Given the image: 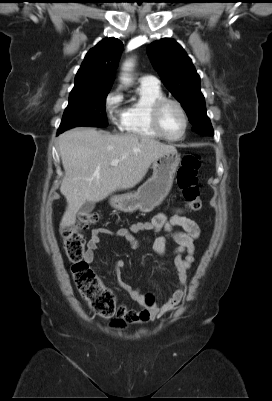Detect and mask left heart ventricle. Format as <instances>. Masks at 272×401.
I'll use <instances>...</instances> for the list:
<instances>
[{
	"instance_id": "1",
	"label": "left heart ventricle",
	"mask_w": 272,
	"mask_h": 401,
	"mask_svg": "<svg viewBox=\"0 0 272 401\" xmlns=\"http://www.w3.org/2000/svg\"><path fill=\"white\" fill-rule=\"evenodd\" d=\"M161 124L167 135L176 138L179 137L184 128L183 117L174 105H168L163 110Z\"/></svg>"
}]
</instances>
